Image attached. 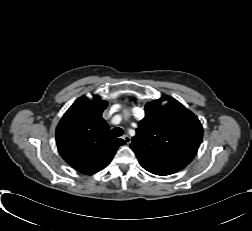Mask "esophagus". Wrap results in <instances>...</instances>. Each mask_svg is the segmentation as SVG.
Listing matches in <instances>:
<instances>
[{
    "instance_id": "esophagus-1",
    "label": "esophagus",
    "mask_w": 252,
    "mask_h": 231,
    "mask_svg": "<svg viewBox=\"0 0 252 231\" xmlns=\"http://www.w3.org/2000/svg\"><path fill=\"white\" fill-rule=\"evenodd\" d=\"M122 138L124 139V141L127 143V144H130L131 143V137L128 136V135H123Z\"/></svg>"
}]
</instances>
